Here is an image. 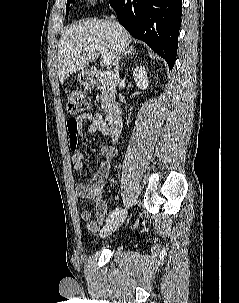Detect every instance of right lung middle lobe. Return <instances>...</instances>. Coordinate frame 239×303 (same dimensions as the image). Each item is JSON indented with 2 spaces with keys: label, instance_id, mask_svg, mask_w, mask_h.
Masks as SVG:
<instances>
[{
  "label": "right lung middle lobe",
  "instance_id": "dd1d6c3e",
  "mask_svg": "<svg viewBox=\"0 0 239 303\" xmlns=\"http://www.w3.org/2000/svg\"><path fill=\"white\" fill-rule=\"evenodd\" d=\"M72 2H74V0H67V5H70ZM69 13V7H66V15H68Z\"/></svg>",
  "mask_w": 239,
  "mask_h": 303
}]
</instances>
